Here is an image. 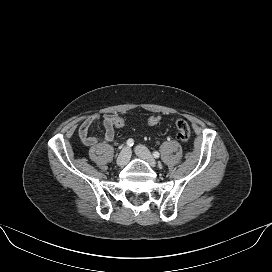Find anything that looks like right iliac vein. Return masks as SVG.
Masks as SVG:
<instances>
[{
    "label": "right iliac vein",
    "instance_id": "right-iliac-vein-1",
    "mask_svg": "<svg viewBox=\"0 0 272 272\" xmlns=\"http://www.w3.org/2000/svg\"><path fill=\"white\" fill-rule=\"evenodd\" d=\"M130 154L131 153H130L129 148L124 147L116 160L117 165L121 166V167L125 166L130 159Z\"/></svg>",
    "mask_w": 272,
    "mask_h": 272
}]
</instances>
